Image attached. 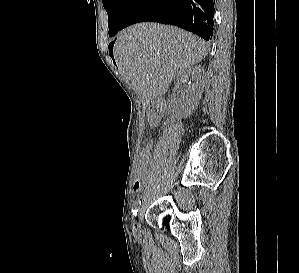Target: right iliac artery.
<instances>
[{
    "label": "right iliac artery",
    "mask_w": 299,
    "mask_h": 273,
    "mask_svg": "<svg viewBox=\"0 0 299 273\" xmlns=\"http://www.w3.org/2000/svg\"><path fill=\"white\" fill-rule=\"evenodd\" d=\"M141 205V200L138 199L137 201L134 202L133 208H132V213H133V217L137 215V212L140 208Z\"/></svg>",
    "instance_id": "1"
}]
</instances>
